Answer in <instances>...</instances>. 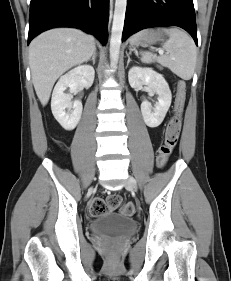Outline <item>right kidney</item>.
Segmentation results:
<instances>
[{
	"mask_svg": "<svg viewBox=\"0 0 231 281\" xmlns=\"http://www.w3.org/2000/svg\"><path fill=\"white\" fill-rule=\"evenodd\" d=\"M95 71L89 65H80L63 75L54 87L51 99V110L55 119L66 130H73L82 114V103L79 100L71 102V95L64 93L69 88L70 93L93 84Z\"/></svg>",
	"mask_w": 231,
	"mask_h": 281,
	"instance_id": "1",
	"label": "right kidney"
}]
</instances>
